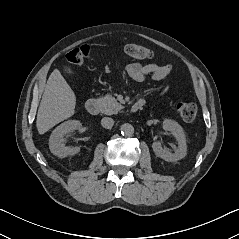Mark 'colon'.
<instances>
[{"label":"colon","instance_id":"colon-1","mask_svg":"<svg viewBox=\"0 0 239 239\" xmlns=\"http://www.w3.org/2000/svg\"><path fill=\"white\" fill-rule=\"evenodd\" d=\"M125 51L128 55L141 59L148 60L153 57V52L144 46L137 44H128L125 46ZM91 55V49L88 45H82L72 49L66 55L69 64L79 66L84 63ZM176 111L182 120L185 122H195L197 118V107L192 102H179L176 105Z\"/></svg>","mask_w":239,"mask_h":239}]
</instances>
